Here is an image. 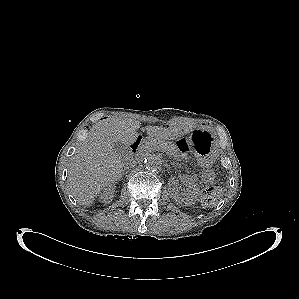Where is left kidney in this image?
Here are the masks:
<instances>
[{
    "instance_id": "1",
    "label": "left kidney",
    "mask_w": 299,
    "mask_h": 299,
    "mask_svg": "<svg viewBox=\"0 0 299 299\" xmlns=\"http://www.w3.org/2000/svg\"><path fill=\"white\" fill-rule=\"evenodd\" d=\"M181 180L184 182V184L186 186V193L184 194V196H182L178 192V190H176L178 180H176L175 177H171L168 180V187H169L170 193L175 202H177L179 204H183L185 206H191L198 199L199 188H198L197 184L195 183L194 178L189 175L182 176Z\"/></svg>"
}]
</instances>
